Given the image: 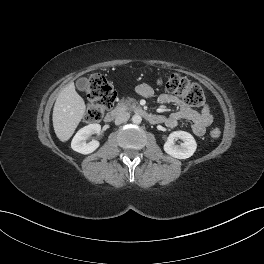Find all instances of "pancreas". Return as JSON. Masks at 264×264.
I'll list each match as a JSON object with an SVG mask.
<instances>
[{
	"instance_id": "cf45deb5",
	"label": "pancreas",
	"mask_w": 264,
	"mask_h": 264,
	"mask_svg": "<svg viewBox=\"0 0 264 264\" xmlns=\"http://www.w3.org/2000/svg\"><path fill=\"white\" fill-rule=\"evenodd\" d=\"M135 101L133 99H127V100H121L120 103L118 104L119 108H127L131 104H134Z\"/></svg>"
}]
</instances>
